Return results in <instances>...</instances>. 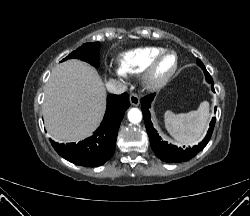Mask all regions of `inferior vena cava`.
I'll list each match as a JSON object with an SVG mask.
<instances>
[{
	"instance_id": "obj_1",
	"label": "inferior vena cava",
	"mask_w": 250,
	"mask_h": 216,
	"mask_svg": "<svg viewBox=\"0 0 250 216\" xmlns=\"http://www.w3.org/2000/svg\"><path fill=\"white\" fill-rule=\"evenodd\" d=\"M107 90L112 94H122L125 92V85L116 80H110L106 83Z\"/></svg>"
}]
</instances>
